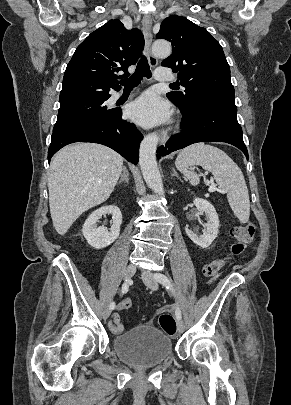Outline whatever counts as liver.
<instances>
[{"label":"liver","instance_id":"obj_1","mask_svg":"<svg viewBox=\"0 0 291 405\" xmlns=\"http://www.w3.org/2000/svg\"><path fill=\"white\" fill-rule=\"evenodd\" d=\"M123 158L95 143L65 146L51 160L48 174L53 226L64 235L88 209L105 202L121 174Z\"/></svg>","mask_w":291,"mask_h":405}]
</instances>
